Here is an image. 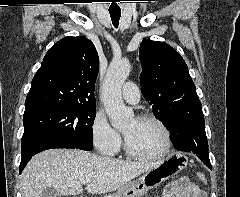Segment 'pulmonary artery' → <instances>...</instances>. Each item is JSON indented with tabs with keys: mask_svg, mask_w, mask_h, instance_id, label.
I'll list each match as a JSON object with an SVG mask.
<instances>
[{
	"mask_svg": "<svg viewBox=\"0 0 240 197\" xmlns=\"http://www.w3.org/2000/svg\"><path fill=\"white\" fill-rule=\"evenodd\" d=\"M122 97L128 103H137L140 99V91L138 86L133 82H126L122 88Z\"/></svg>",
	"mask_w": 240,
	"mask_h": 197,
	"instance_id": "obj_1",
	"label": "pulmonary artery"
}]
</instances>
